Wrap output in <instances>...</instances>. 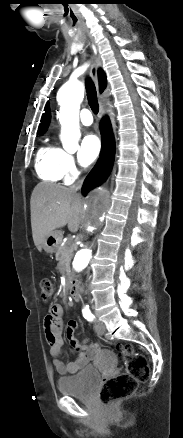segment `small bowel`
<instances>
[{"mask_svg":"<svg viewBox=\"0 0 183 438\" xmlns=\"http://www.w3.org/2000/svg\"><path fill=\"white\" fill-rule=\"evenodd\" d=\"M63 309L59 304H52L44 320L46 339L50 345V354L55 358L53 361L56 371L61 375L75 374L85 367L100 349L97 343L87 344L79 342L75 336L78 323L70 320L66 326V337L69 345L78 352L77 358L71 362H63L59 358L63 355L64 340Z\"/></svg>","mask_w":183,"mask_h":438,"instance_id":"obj_1","label":"small bowel"}]
</instances>
